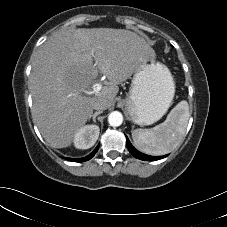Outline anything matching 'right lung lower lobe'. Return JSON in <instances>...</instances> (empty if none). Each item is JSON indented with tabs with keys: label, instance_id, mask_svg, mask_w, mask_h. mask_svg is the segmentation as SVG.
I'll return each mask as SVG.
<instances>
[{
	"label": "right lung lower lobe",
	"instance_id": "obj_1",
	"mask_svg": "<svg viewBox=\"0 0 227 227\" xmlns=\"http://www.w3.org/2000/svg\"><path fill=\"white\" fill-rule=\"evenodd\" d=\"M98 148H99V145L95 148V150L92 153H90L86 157L79 158V159H72V158H66V159L69 160V161H73V162H84V161H88V160H90L95 155V153L98 151Z\"/></svg>",
	"mask_w": 227,
	"mask_h": 227
}]
</instances>
